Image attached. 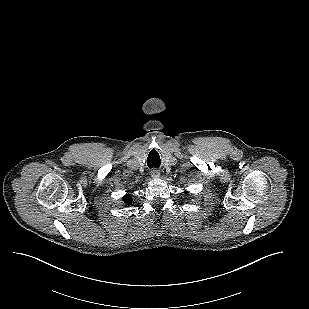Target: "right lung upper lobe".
I'll list each match as a JSON object with an SVG mask.
<instances>
[{"mask_svg": "<svg viewBox=\"0 0 309 309\" xmlns=\"http://www.w3.org/2000/svg\"><path fill=\"white\" fill-rule=\"evenodd\" d=\"M123 200L127 205H130L132 202V198L129 195L124 196Z\"/></svg>", "mask_w": 309, "mask_h": 309, "instance_id": "obj_1", "label": "right lung upper lobe"}]
</instances>
